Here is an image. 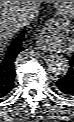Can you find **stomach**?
Instances as JSON below:
<instances>
[{
    "label": "stomach",
    "instance_id": "stomach-1",
    "mask_svg": "<svg viewBox=\"0 0 74 122\" xmlns=\"http://www.w3.org/2000/svg\"><path fill=\"white\" fill-rule=\"evenodd\" d=\"M54 33L60 35L61 37H67V38H69L68 36H70V34H72L71 31H69L68 29H65V28H61L60 30L55 29Z\"/></svg>",
    "mask_w": 74,
    "mask_h": 122
}]
</instances>
